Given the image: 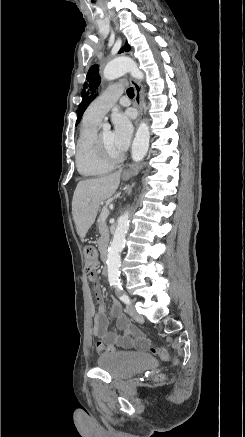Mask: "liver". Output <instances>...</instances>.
<instances>
[{
  "label": "liver",
  "instance_id": "obj_1",
  "mask_svg": "<svg viewBox=\"0 0 245 437\" xmlns=\"http://www.w3.org/2000/svg\"><path fill=\"white\" fill-rule=\"evenodd\" d=\"M121 170L95 179L80 181L74 191L72 216L78 236L85 238L94 224L100 203L110 198L120 184Z\"/></svg>",
  "mask_w": 245,
  "mask_h": 437
}]
</instances>
